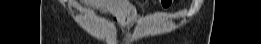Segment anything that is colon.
<instances>
[{
  "instance_id": "obj_1",
  "label": "colon",
  "mask_w": 261,
  "mask_h": 44,
  "mask_svg": "<svg viewBox=\"0 0 261 44\" xmlns=\"http://www.w3.org/2000/svg\"><path fill=\"white\" fill-rule=\"evenodd\" d=\"M160 5H161V6H170V5H171V2H170V1H161V2H160Z\"/></svg>"
}]
</instances>
